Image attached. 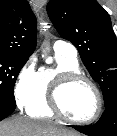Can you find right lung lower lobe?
I'll return each instance as SVG.
<instances>
[{"mask_svg":"<svg viewBox=\"0 0 117 136\" xmlns=\"http://www.w3.org/2000/svg\"><path fill=\"white\" fill-rule=\"evenodd\" d=\"M15 108V99L0 96V121L9 116Z\"/></svg>","mask_w":117,"mask_h":136,"instance_id":"98d812e1","label":"right lung lower lobe"}]
</instances>
